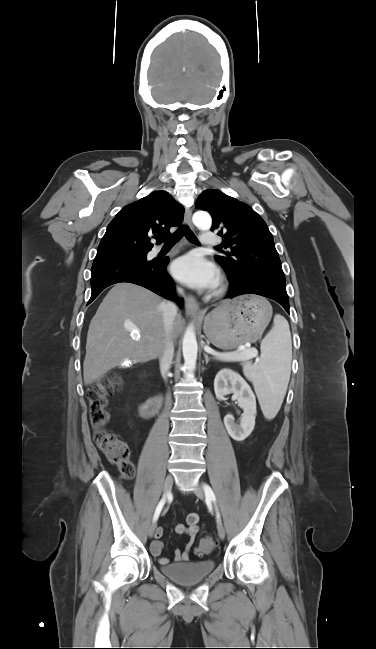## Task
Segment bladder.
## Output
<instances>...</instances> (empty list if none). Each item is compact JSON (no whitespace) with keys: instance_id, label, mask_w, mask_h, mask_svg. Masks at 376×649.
I'll list each match as a JSON object with an SVG mask.
<instances>
[{"instance_id":"1","label":"bladder","mask_w":376,"mask_h":649,"mask_svg":"<svg viewBox=\"0 0 376 649\" xmlns=\"http://www.w3.org/2000/svg\"><path fill=\"white\" fill-rule=\"evenodd\" d=\"M215 568L211 559L184 563L166 564L160 567L161 572L172 581L193 585L203 581Z\"/></svg>"}]
</instances>
